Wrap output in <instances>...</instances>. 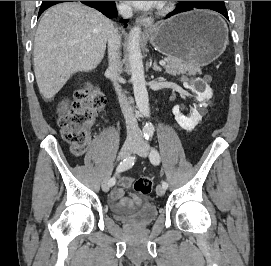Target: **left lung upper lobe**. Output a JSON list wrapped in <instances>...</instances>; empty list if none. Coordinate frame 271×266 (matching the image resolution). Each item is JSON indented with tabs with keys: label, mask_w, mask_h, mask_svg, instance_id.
<instances>
[{
	"label": "left lung upper lobe",
	"mask_w": 271,
	"mask_h": 266,
	"mask_svg": "<svg viewBox=\"0 0 271 266\" xmlns=\"http://www.w3.org/2000/svg\"><path fill=\"white\" fill-rule=\"evenodd\" d=\"M181 4L199 7L201 9H211L217 12L227 11L224 1H179Z\"/></svg>",
	"instance_id": "obj_1"
}]
</instances>
